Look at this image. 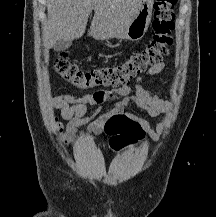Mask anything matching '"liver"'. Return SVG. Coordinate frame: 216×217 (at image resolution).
I'll use <instances>...</instances> for the list:
<instances>
[{
	"label": "liver",
	"mask_w": 216,
	"mask_h": 217,
	"mask_svg": "<svg viewBox=\"0 0 216 217\" xmlns=\"http://www.w3.org/2000/svg\"><path fill=\"white\" fill-rule=\"evenodd\" d=\"M141 3L142 0H47L44 46L49 49L57 40L82 37L92 10L91 36L96 40L112 39L129 23Z\"/></svg>",
	"instance_id": "1"
}]
</instances>
